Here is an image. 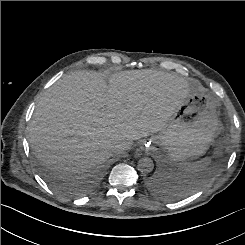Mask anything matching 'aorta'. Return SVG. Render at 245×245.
Listing matches in <instances>:
<instances>
[{
	"label": "aorta",
	"mask_w": 245,
	"mask_h": 245,
	"mask_svg": "<svg viewBox=\"0 0 245 245\" xmlns=\"http://www.w3.org/2000/svg\"><path fill=\"white\" fill-rule=\"evenodd\" d=\"M137 167L141 173L146 174L150 173L153 170L154 163L151 158L143 157L139 159Z\"/></svg>",
	"instance_id": "762f6f07"
}]
</instances>
